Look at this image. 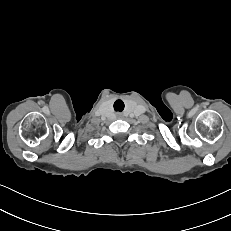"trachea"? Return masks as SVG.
Listing matches in <instances>:
<instances>
[{"label": "trachea", "mask_w": 231, "mask_h": 231, "mask_svg": "<svg viewBox=\"0 0 231 231\" xmlns=\"http://www.w3.org/2000/svg\"><path fill=\"white\" fill-rule=\"evenodd\" d=\"M119 104H122L123 105V108H124V103L121 101V100H117L115 103H114V109L116 110V108L119 106ZM118 111V110H116Z\"/></svg>", "instance_id": "1"}]
</instances>
